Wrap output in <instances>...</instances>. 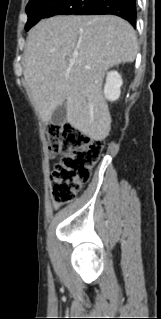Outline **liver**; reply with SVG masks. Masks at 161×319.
<instances>
[{
    "label": "liver",
    "mask_w": 161,
    "mask_h": 319,
    "mask_svg": "<svg viewBox=\"0 0 161 319\" xmlns=\"http://www.w3.org/2000/svg\"><path fill=\"white\" fill-rule=\"evenodd\" d=\"M138 44L133 27L113 15L56 16L29 32L24 79L45 123L66 103L67 122L82 134L104 140L111 116L102 94L106 71L133 62ZM76 59L70 64V59Z\"/></svg>",
    "instance_id": "1"
}]
</instances>
